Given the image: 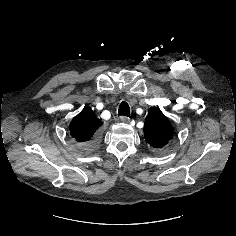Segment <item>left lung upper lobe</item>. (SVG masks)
I'll use <instances>...</instances> for the list:
<instances>
[{"mask_svg": "<svg viewBox=\"0 0 236 236\" xmlns=\"http://www.w3.org/2000/svg\"><path fill=\"white\" fill-rule=\"evenodd\" d=\"M144 137L154 148H162L173 138V127L158 107L152 108L145 119Z\"/></svg>", "mask_w": 236, "mask_h": 236, "instance_id": "1", "label": "left lung upper lobe"}]
</instances>
